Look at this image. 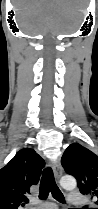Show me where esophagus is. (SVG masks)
<instances>
[{"instance_id": "obj_1", "label": "esophagus", "mask_w": 98, "mask_h": 209, "mask_svg": "<svg viewBox=\"0 0 98 209\" xmlns=\"http://www.w3.org/2000/svg\"><path fill=\"white\" fill-rule=\"evenodd\" d=\"M53 171H54L55 178L58 181L60 177L62 176V167L58 161L53 164Z\"/></svg>"}]
</instances>
